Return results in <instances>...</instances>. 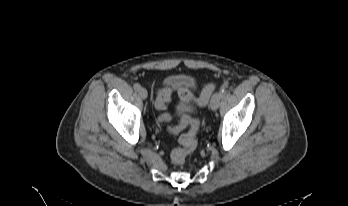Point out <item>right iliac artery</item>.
Masks as SVG:
<instances>
[{
    "mask_svg": "<svg viewBox=\"0 0 348 206\" xmlns=\"http://www.w3.org/2000/svg\"><path fill=\"white\" fill-rule=\"evenodd\" d=\"M133 87H134V89L137 90V91L141 88V86H140L139 83H135Z\"/></svg>",
    "mask_w": 348,
    "mask_h": 206,
    "instance_id": "1",
    "label": "right iliac artery"
}]
</instances>
